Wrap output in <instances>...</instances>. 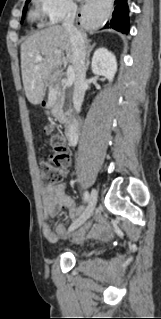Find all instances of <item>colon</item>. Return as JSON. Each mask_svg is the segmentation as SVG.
Masks as SVG:
<instances>
[{"instance_id":"5ec220e1","label":"colon","mask_w":161,"mask_h":319,"mask_svg":"<svg viewBox=\"0 0 161 319\" xmlns=\"http://www.w3.org/2000/svg\"><path fill=\"white\" fill-rule=\"evenodd\" d=\"M45 132L50 137V144L55 150L53 156L45 158L41 163V173L43 182L52 185L60 181L70 166V156L63 148V138L61 135L53 134L51 128H46Z\"/></svg>"}]
</instances>
